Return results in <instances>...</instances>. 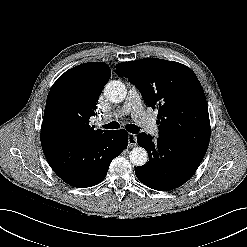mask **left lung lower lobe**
Returning <instances> with one entry per match:
<instances>
[{
	"mask_svg": "<svg viewBox=\"0 0 247 247\" xmlns=\"http://www.w3.org/2000/svg\"><path fill=\"white\" fill-rule=\"evenodd\" d=\"M138 145L149 155L147 165L137 167L135 174L146 186L161 191L172 190L187 182L205 156V148L179 143L162 137L156 141L140 133Z\"/></svg>",
	"mask_w": 247,
	"mask_h": 247,
	"instance_id": "left-lung-lower-lobe-1",
	"label": "left lung lower lobe"
}]
</instances>
